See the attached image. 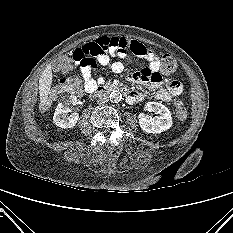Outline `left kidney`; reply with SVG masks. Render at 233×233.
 Returning a JSON list of instances; mask_svg holds the SVG:
<instances>
[{"instance_id": "obj_1", "label": "left kidney", "mask_w": 233, "mask_h": 233, "mask_svg": "<svg viewBox=\"0 0 233 233\" xmlns=\"http://www.w3.org/2000/svg\"><path fill=\"white\" fill-rule=\"evenodd\" d=\"M146 109L155 112V114H159V117L154 120L144 113L139 114V125L143 131L159 134L172 126L171 113L163 104L159 102H148L146 104Z\"/></svg>"}]
</instances>
